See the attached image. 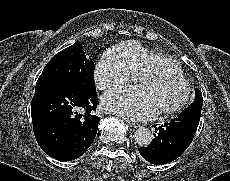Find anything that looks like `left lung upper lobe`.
Returning a JSON list of instances; mask_svg holds the SVG:
<instances>
[{
    "mask_svg": "<svg viewBox=\"0 0 230 181\" xmlns=\"http://www.w3.org/2000/svg\"><path fill=\"white\" fill-rule=\"evenodd\" d=\"M195 101L188 107L186 108L183 112L186 111H197L199 113H201V109H202V104H203V97H202V93L200 90L195 89Z\"/></svg>",
    "mask_w": 230,
    "mask_h": 181,
    "instance_id": "5c2ea615",
    "label": "left lung upper lobe"
}]
</instances>
